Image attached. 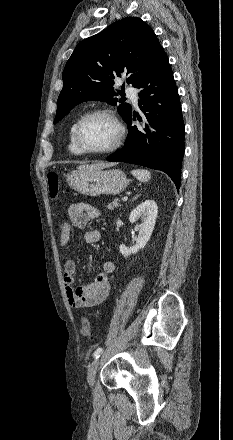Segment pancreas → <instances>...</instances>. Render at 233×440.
<instances>
[{
    "label": "pancreas",
    "instance_id": "pancreas-1",
    "mask_svg": "<svg viewBox=\"0 0 233 440\" xmlns=\"http://www.w3.org/2000/svg\"><path fill=\"white\" fill-rule=\"evenodd\" d=\"M120 206L117 199H115L112 203H109L106 207L108 210H114Z\"/></svg>",
    "mask_w": 233,
    "mask_h": 440
}]
</instances>
